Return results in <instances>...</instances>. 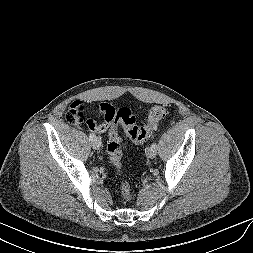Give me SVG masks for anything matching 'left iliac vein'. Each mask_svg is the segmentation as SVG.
Returning <instances> with one entry per match:
<instances>
[{"instance_id": "obj_1", "label": "left iliac vein", "mask_w": 253, "mask_h": 253, "mask_svg": "<svg viewBox=\"0 0 253 253\" xmlns=\"http://www.w3.org/2000/svg\"><path fill=\"white\" fill-rule=\"evenodd\" d=\"M146 155L148 158H154L157 155V150L150 147L146 150Z\"/></svg>"}]
</instances>
